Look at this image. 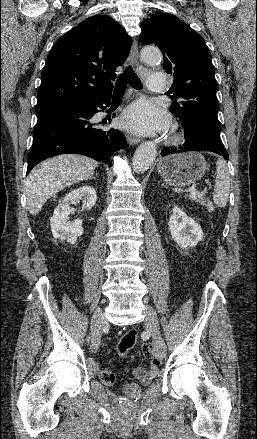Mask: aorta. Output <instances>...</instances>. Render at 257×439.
Returning <instances> with one entry per match:
<instances>
[{"mask_svg":"<svg viewBox=\"0 0 257 439\" xmlns=\"http://www.w3.org/2000/svg\"><path fill=\"white\" fill-rule=\"evenodd\" d=\"M143 61L148 65H155L161 61V52L155 47H146L141 51ZM157 155V149L154 143H142L133 156V167L136 172H144L153 164Z\"/></svg>","mask_w":257,"mask_h":439,"instance_id":"762f6f07","label":"aorta"}]
</instances>
